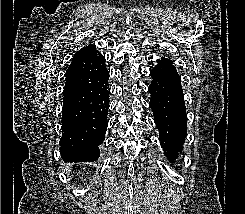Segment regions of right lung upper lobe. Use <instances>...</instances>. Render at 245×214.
Instances as JSON below:
<instances>
[{"mask_svg":"<svg viewBox=\"0 0 245 214\" xmlns=\"http://www.w3.org/2000/svg\"><path fill=\"white\" fill-rule=\"evenodd\" d=\"M79 59V74L81 83L87 85L93 82L101 75L102 63H105V58L96 50L95 45H88L78 51Z\"/></svg>","mask_w":245,"mask_h":214,"instance_id":"obj_1","label":"right lung upper lobe"}]
</instances>
